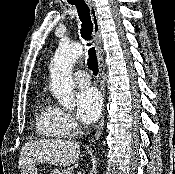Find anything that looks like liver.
I'll return each mask as SVG.
<instances>
[{
  "label": "liver",
  "mask_w": 175,
  "mask_h": 174,
  "mask_svg": "<svg viewBox=\"0 0 175 174\" xmlns=\"http://www.w3.org/2000/svg\"><path fill=\"white\" fill-rule=\"evenodd\" d=\"M80 155L78 142L63 139L29 141L22 147L19 157V167L36 162L56 166H70L76 163Z\"/></svg>",
  "instance_id": "liver-1"
}]
</instances>
